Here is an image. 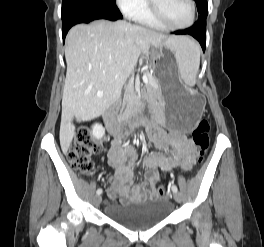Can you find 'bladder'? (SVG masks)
Returning <instances> with one entry per match:
<instances>
[{
    "instance_id": "obj_1",
    "label": "bladder",
    "mask_w": 264,
    "mask_h": 247,
    "mask_svg": "<svg viewBox=\"0 0 264 247\" xmlns=\"http://www.w3.org/2000/svg\"><path fill=\"white\" fill-rule=\"evenodd\" d=\"M172 210L169 200L152 198L144 201H125L122 204L108 205L109 219L134 230L151 228L167 218Z\"/></svg>"
}]
</instances>
